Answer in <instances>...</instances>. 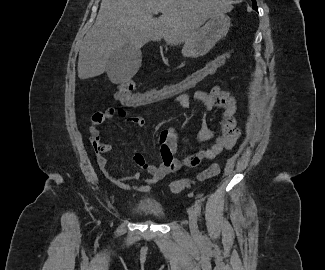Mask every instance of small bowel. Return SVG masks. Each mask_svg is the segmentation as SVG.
Instances as JSON below:
<instances>
[{"label":"small bowel","instance_id":"small-bowel-1","mask_svg":"<svg viewBox=\"0 0 325 270\" xmlns=\"http://www.w3.org/2000/svg\"><path fill=\"white\" fill-rule=\"evenodd\" d=\"M156 89H162V87ZM134 96H144L143 91L135 93ZM174 100L178 106L183 109H189L192 105V101H195L202 106L204 113H209L219 108L224 109L220 121V133L218 136L214 137L213 131L204 121L202 122L198 132V138L200 141H209L214 139L213 144L208 149L199 150L195 154L187 157L184 161L186 166L193 167L199 164L202 160H213L224 150H229L235 145L240 136V130L237 127L236 119L238 106L235 98H233L227 91L215 86L209 92L197 90L192 96L188 93H183L182 96H174ZM152 104L156 103H123L119 108H110L104 112H97L92 117L91 143L96 152L98 165L108 180L122 189L148 192L151 190L153 184H156L165 176L174 172L179 166V161L174 158V154L177 150L178 135L176 130L170 127L162 131L159 136L161 155L160 164L155 165L149 163L144 155L137 150L134 151L133 160L135 164L138 167L147 170L150 174L142 184L133 183V181H137L141 178V174L138 171L125 178H117L109 171L108 161L105 154L111 151L112 145L100 141L97 127L113 118H118L119 121H128V123L134 127H143L145 125V120L142 116H133L128 119V112L125 110H130L131 107L139 108Z\"/></svg>","mask_w":325,"mask_h":270}]
</instances>
